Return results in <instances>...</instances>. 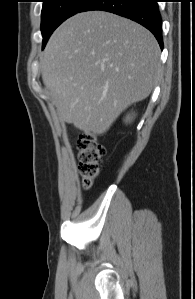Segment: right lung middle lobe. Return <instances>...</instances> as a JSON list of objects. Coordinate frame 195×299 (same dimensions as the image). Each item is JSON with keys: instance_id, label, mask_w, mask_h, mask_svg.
<instances>
[{"instance_id": "1", "label": "right lung middle lobe", "mask_w": 195, "mask_h": 299, "mask_svg": "<svg viewBox=\"0 0 195 299\" xmlns=\"http://www.w3.org/2000/svg\"><path fill=\"white\" fill-rule=\"evenodd\" d=\"M88 0H43L41 31L43 48L52 32L67 18L78 13Z\"/></svg>"}]
</instances>
